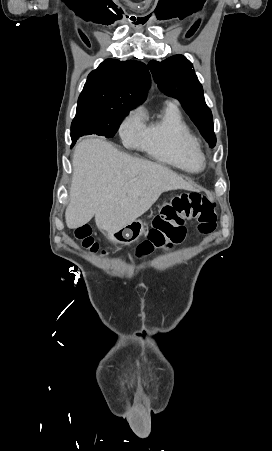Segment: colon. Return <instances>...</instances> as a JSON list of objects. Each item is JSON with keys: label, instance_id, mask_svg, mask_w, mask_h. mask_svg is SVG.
I'll return each mask as SVG.
<instances>
[{"label": "colon", "instance_id": "5ec220e1", "mask_svg": "<svg viewBox=\"0 0 272 451\" xmlns=\"http://www.w3.org/2000/svg\"><path fill=\"white\" fill-rule=\"evenodd\" d=\"M186 222L197 223L201 233L213 232L217 225L213 198L201 192H188L174 196L162 206L159 215L154 217V228L149 231V239L137 247L136 254L145 256L154 249L169 251L183 238L182 227ZM74 235L86 249L92 252L99 249V244L93 239L88 226L76 228ZM115 259L121 261L123 256L117 254Z\"/></svg>", "mask_w": 272, "mask_h": 451}]
</instances>
